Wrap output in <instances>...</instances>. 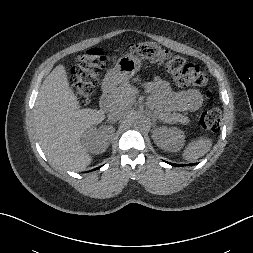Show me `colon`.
I'll return each instance as SVG.
<instances>
[{
  "instance_id": "obj_1",
  "label": "colon",
  "mask_w": 253,
  "mask_h": 253,
  "mask_svg": "<svg viewBox=\"0 0 253 253\" xmlns=\"http://www.w3.org/2000/svg\"><path fill=\"white\" fill-rule=\"evenodd\" d=\"M127 51L143 59L163 65L180 86H204L207 83V77L198 64L173 55L154 42L131 44L127 47ZM106 64L107 57L105 53L96 47L86 50L77 57L76 65L71 72L70 84L81 106L90 102L93 89L105 70ZM204 97L210 106L201 113L199 124L204 130L216 131L220 125L221 113L214 106L215 95L212 90L206 89Z\"/></svg>"
}]
</instances>
